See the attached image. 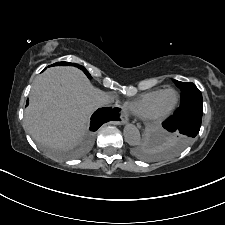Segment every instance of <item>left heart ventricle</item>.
Returning <instances> with one entry per match:
<instances>
[{"mask_svg": "<svg viewBox=\"0 0 225 225\" xmlns=\"http://www.w3.org/2000/svg\"><path fill=\"white\" fill-rule=\"evenodd\" d=\"M176 100V95L174 92L169 91L164 93L160 96L158 99L156 105H155V112H162L170 108Z\"/></svg>", "mask_w": 225, "mask_h": 225, "instance_id": "obj_1", "label": "left heart ventricle"}]
</instances>
